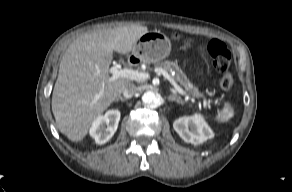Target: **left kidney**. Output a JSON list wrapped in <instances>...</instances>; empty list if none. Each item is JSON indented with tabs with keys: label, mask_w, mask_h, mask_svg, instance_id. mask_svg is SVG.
Returning <instances> with one entry per match:
<instances>
[{
	"label": "left kidney",
	"mask_w": 292,
	"mask_h": 192,
	"mask_svg": "<svg viewBox=\"0 0 292 192\" xmlns=\"http://www.w3.org/2000/svg\"><path fill=\"white\" fill-rule=\"evenodd\" d=\"M173 128L185 142L194 145L201 144L214 137L212 129L200 114L175 120Z\"/></svg>",
	"instance_id": "obj_1"
}]
</instances>
